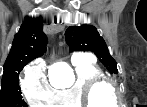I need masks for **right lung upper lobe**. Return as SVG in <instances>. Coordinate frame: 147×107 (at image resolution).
Here are the masks:
<instances>
[{"label":"right lung upper lobe","instance_id":"cb5924a9","mask_svg":"<svg viewBox=\"0 0 147 107\" xmlns=\"http://www.w3.org/2000/svg\"><path fill=\"white\" fill-rule=\"evenodd\" d=\"M41 19H25L15 35L10 53L4 64L3 77L20 72L21 64L44 54L47 37L42 32Z\"/></svg>","mask_w":147,"mask_h":107}]
</instances>
